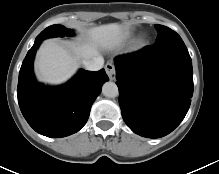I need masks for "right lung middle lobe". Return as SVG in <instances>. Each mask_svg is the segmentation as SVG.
Returning <instances> with one entry per match:
<instances>
[{"mask_svg":"<svg viewBox=\"0 0 219 174\" xmlns=\"http://www.w3.org/2000/svg\"><path fill=\"white\" fill-rule=\"evenodd\" d=\"M73 31L70 29L65 28L62 25L56 24L47 27L45 30H43L37 37L35 41L41 42L46 38L50 37H63V36H72Z\"/></svg>","mask_w":219,"mask_h":174,"instance_id":"1","label":"right lung middle lobe"}]
</instances>
